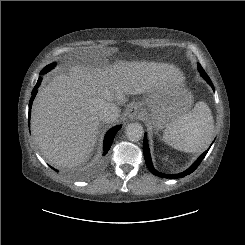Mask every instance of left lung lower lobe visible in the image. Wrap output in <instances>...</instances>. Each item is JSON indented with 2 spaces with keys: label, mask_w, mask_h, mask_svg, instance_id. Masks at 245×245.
<instances>
[{
  "label": "left lung lower lobe",
  "mask_w": 245,
  "mask_h": 245,
  "mask_svg": "<svg viewBox=\"0 0 245 245\" xmlns=\"http://www.w3.org/2000/svg\"><path fill=\"white\" fill-rule=\"evenodd\" d=\"M201 75L214 90V86H213L210 78L208 77V75L205 73V71H202ZM209 148L202 155H200L198 157V159L186 171H184L182 173H179V174L168 175V174H163L161 172H158L157 170L154 169V167L152 165L151 157H150V152H149V147H148V143H147V135L146 134L144 136V142H143V153H144V158H145V162H146V165H147L148 169L150 170V172L152 174H154L156 176H159V177H166V178H182V177H185L186 175L191 174L199 166L201 161L204 159V157L206 156Z\"/></svg>",
  "instance_id": "0a47b994"
}]
</instances>
